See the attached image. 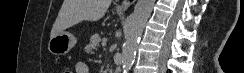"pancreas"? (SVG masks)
I'll list each match as a JSON object with an SVG mask.
<instances>
[{"instance_id":"obj_1","label":"pancreas","mask_w":244,"mask_h":73,"mask_svg":"<svg viewBox=\"0 0 244 73\" xmlns=\"http://www.w3.org/2000/svg\"><path fill=\"white\" fill-rule=\"evenodd\" d=\"M101 37L98 34L93 35L90 38V42L88 45H86L85 52L92 53L93 51L97 50V48L100 46Z\"/></svg>"}]
</instances>
